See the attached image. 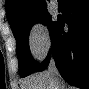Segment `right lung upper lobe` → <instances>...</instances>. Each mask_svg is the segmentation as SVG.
<instances>
[{
    "mask_svg": "<svg viewBox=\"0 0 89 89\" xmlns=\"http://www.w3.org/2000/svg\"><path fill=\"white\" fill-rule=\"evenodd\" d=\"M48 0H6V16L12 26L24 18L47 10Z\"/></svg>",
    "mask_w": 89,
    "mask_h": 89,
    "instance_id": "1",
    "label": "right lung upper lobe"
}]
</instances>
